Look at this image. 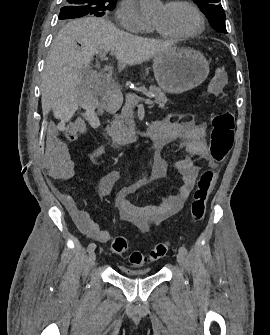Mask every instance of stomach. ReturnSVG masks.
<instances>
[{"mask_svg":"<svg viewBox=\"0 0 270 335\" xmlns=\"http://www.w3.org/2000/svg\"><path fill=\"white\" fill-rule=\"evenodd\" d=\"M207 58L193 48H172L153 58L155 80L168 94H183L206 80L209 74Z\"/></svg>","mask_w":270,"mask_h":335,"instance_id":"obj_1","label":"stomach"}]
</instances>
